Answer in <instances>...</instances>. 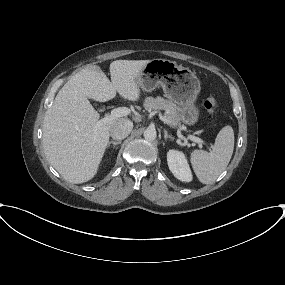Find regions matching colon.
<instances>
[{"mask_svg":"<svg viewBox=\"0 0 285 285\" xmlns=\"http://www.w3.org/2000/svg\"><path fill=\"white\" fill-rule=\"evenodd\" d=\"M204 107L207 110L209 117L213 118L218 109V101L216 100V98L210 97L205 101Z\"/></svg>","mask_w":285,"mask_h":285,"instance_id":"obj_1","label":"colon"}]
</instances>
